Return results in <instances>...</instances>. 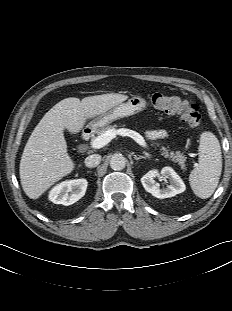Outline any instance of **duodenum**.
I'll return each instance as SVG.
<instances>
[{
	"instance_id": "duodenum-1",
	"label": "duodenum",
	"mask_w": 232,
	"mask_h": 311,
	"mask_svg": "<svg viewBox=\"0 0 232 311\" xmlns=\"http://www.w3.org/2000/svg\"><path fill=\"white\" fill-rule=\"evenodd\" d=\"M92 131L89 128H86L81 133V139L86 141L91 137Z\"/></svg>"
}]
</instances>
